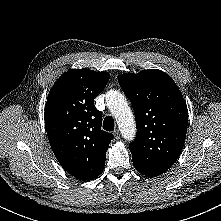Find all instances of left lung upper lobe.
I'll return each mask as SVG.
<instances>
[{
    "mask_svg": "<svg viewBox=\"0 0 221 221\" xmlns=\"http://www.w3.org/2000/svg\"><path fill=\"white\" fill-rule=\"evenodd\" d=\"M118 81L135 113L137 134L129 144L132 161L169 169L183 149L188 124L187 106L178 86L156 69L124 73Z\"/></svg>",
    "mask_w": 221,
    "mask_h": 221,
    "instance_id": "1",
    "label": "left lung upper lobe"
}]
</instances>
